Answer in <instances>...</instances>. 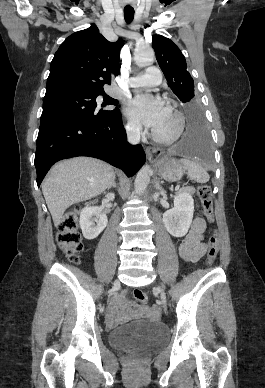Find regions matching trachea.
Returning a JSON list of instances; mask_svg holds the SVG:
<instances>
[{"label": "trachea", "mask_w": 265, "mask_h": 388, "mask_svg": "<svg viewBox=\"0 0 265 388\" xmlns=\"http://www.w3.org/2000/svg\"><path fill=\"white\" fill-rule=\"evenodd\" d=\"M125 21L130 23L134 18V10H124Z\"/></svg>", "instance_id": "trachea-1"}]
</instances>
